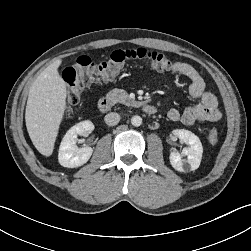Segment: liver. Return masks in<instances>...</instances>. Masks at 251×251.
<instances>
[{
	"mask_svg": "<svg viewBox=\"0 0 251 251\" xmlns=\"http://www.w3.org/2000/svg\"><path fill=\"white\" fill-rule=\"evenodd\" d=\"M62 60L45 68L32 83L25 112L29 137L42 155H52L66 109V83L58 73Z\"/></svg>",
	"mask_w": 251,
	"mask_h": 251,
	"instance_id": "6515ba94",
	"label": "liver"
}]
</instances>
